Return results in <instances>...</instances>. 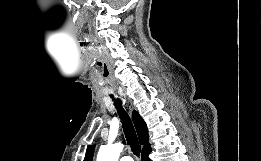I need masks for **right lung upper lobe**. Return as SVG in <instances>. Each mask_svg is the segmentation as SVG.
<instances>
[{"label":"right lung upper lobe","mask_w":261,"mask_h":161,"mask_svg":"<svg viewBox=\"0 0 261 161\" xmlns=\"http://www.w3.org/2000/svg\"><path fill=\"white\" fill-rule=\"evenodd\" d=\"M134 125L139 137L140 144L143 145L142 153L151 151L150 144L148 142V130L146 123L139 115L138 112L134 111L132 114ZM95 145H88L84 161H92Z\"/></svg>","instance_id":"1"}]
</instances>
